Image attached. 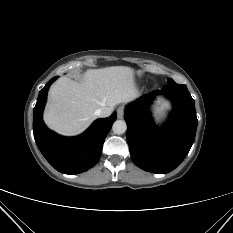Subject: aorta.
Instances as JSON below:
<instances>
[{
	"label": "aorta",
	"instance_id": "obj_1",
	"mask_svg": "<svg viewBox=\"0 0 233 233\" xmlns=\"http://www.w3.org/2000/svg\"><path fill=\"white\" fill-rule=\"evenodd\" d=\"M112 130L115 134H123L127 130L126 122L123 120H117L112 126Z\"/></svg>",
	"mask_w": 233,
	"mask_h": 233
}]
</instances>
